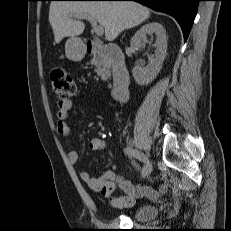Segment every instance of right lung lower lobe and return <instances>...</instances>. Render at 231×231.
<instances>
[{
    "instance_id": "98d812e1",
    "label": "right lung lower lobe",
    "mask_w": 231,
    "mask_h": 231,
    "mask_svg": "<svg viewBox=\"0 0 231 231\" xmlns=\"http://www.w3.org/2000/svg\"><path fill=\"white\" fill-rule=\"evenodd\" d=\"M101 1V0H94ZM103 1V0H102ZM111 1V0H110ZM123 1V0H115ZM136 1L153 10L164 12L173 16L181 26L184 40L186 41L194 18L197 13L198 3L201 0H124Z\"/></svg>"
}]
</instances>
